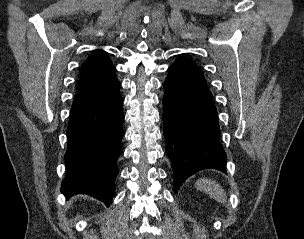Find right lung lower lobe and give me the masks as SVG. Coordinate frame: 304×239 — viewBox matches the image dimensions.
I'll list each match as a JSON object with an SVG mask.
<instances>
[{
	"instance_id": "obj_1",
	"label": "right lung lower lobe",
	"mask_w": 304,
	"mask_h": 239,
	"mask_svg": "<svg viewBox=\"0 0 304 239\" xmlns=\"http://www.w3.org/2000/svg\"><path fill=\"white\" fill-rule=\"evenodd\" d=\"M115 70L80 90L71 107L61 192L87 194L107 206L114 197L117 159L122 153L123 99Z\"/></svg>"
}]
</instances>
